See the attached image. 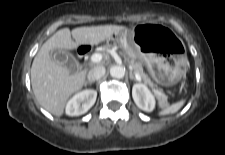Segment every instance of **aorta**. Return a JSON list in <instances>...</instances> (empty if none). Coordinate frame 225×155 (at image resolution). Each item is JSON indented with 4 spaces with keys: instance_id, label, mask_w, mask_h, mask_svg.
Wrapping results in <instances>:
<instances>
[{
    "instance_id": "762f6f07",
    "label": "aorta",
    "mask_w": 225,
    "mask_h": 155,
    "mask_svg": "<svg viewBox=\"0 0 225 155\" xmlns=\"http://www.w3.org/2000/svg\"><path fill=\"white\" fill-rule=\"evenodd\" d=\"M110 75L113 78L121 79L125 76V68L120 65H115L110 68Z\"/></svg>"
}]
</instances>
